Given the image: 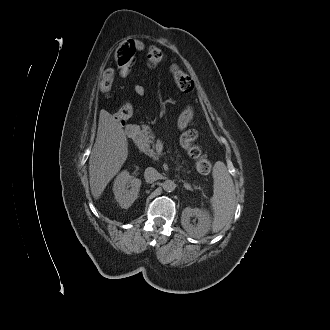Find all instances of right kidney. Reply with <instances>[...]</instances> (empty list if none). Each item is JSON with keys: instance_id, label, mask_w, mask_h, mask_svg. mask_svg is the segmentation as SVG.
Here are the masks:
<instances>
[{"instance_id": "obj_1", "label": "right kidney", "mask_w": 330, "mask_h": 330, "mask_svg": "<svg viewBox=\"0 0 330 330\" xmlns=\"http://www.w3.org/2000/svg\"><path fill=\"white\" fill-rule=\"evenodd\" d=\"M141 180L131 176L127 170L117 175L113 184V193L119 205L127 209L137 199Z\"/></svg>"}]
</instances>
